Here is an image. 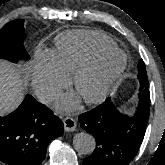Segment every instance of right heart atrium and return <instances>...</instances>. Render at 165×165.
<instances>
[{
	"mask_svg": "<svg viewBox=\"0 0 165 165\" xmlns=\"http://www.w3.org/2000/svg\"><path fill=\"white\" fill-rule=\"evenodd\" d=\"M68 83L67 73L59 66L53 54L39 51L33 73V86L39 96L50 100Z\"/></svg>",
	"mask_w": 165,
	"mask_h": 165,
	"instance_id": "right-heart-atrium-1",
	"label": "right heart atrium"
}]
</instances>
